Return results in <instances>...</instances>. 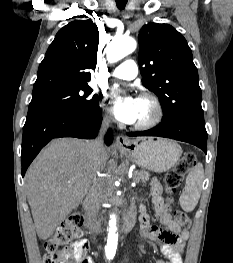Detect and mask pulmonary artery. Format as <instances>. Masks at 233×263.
I'll return each mask as SVG.
<instances>
[{"mask_svg":"<svg viewBox=\"0 0 233 263\" xmlns=\"http://www.w3.org/2000/svg\"><path fill=\"white\" fill-rule=\"evenodd\" d=\"M138 68L134 60L127 59L118 65L111 73V76L123 80H131L137 76Z\"/></svg>","mask_w":233,"mask_h":263,"instance_id":"pulmonary-artery-1","label":"pulmonary artery"}]
</instances>
